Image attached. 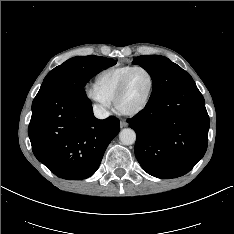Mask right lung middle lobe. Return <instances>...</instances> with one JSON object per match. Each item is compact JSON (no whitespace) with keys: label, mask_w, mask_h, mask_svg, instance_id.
<instances>
[{"label":"right lung middle lobe","mask_w":234,"mask_h":234,"mask_svg":"<svg viewBox=\"0 0 234 234\" xmlns=\"http://www.w3.org/2000/svg\"><path fill=\"white\" fill-rule=\"evenodd\" d=\"M115 64V60L101 56L73 57L51 70L44 78L43 83L60 77L70 76L74 83L84 87L87 80L93 74Z\"/></svg>","instance_id":"right-lung-middle-lobe-1"}]
</instances>
